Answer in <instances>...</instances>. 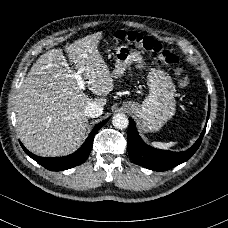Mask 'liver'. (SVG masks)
<instances>
[{"label": "liver", "mask_w": 228, "mask_h": 228, "mask_svg": "<svg viewBox=\"0 0 228 228\" xmlns=\"http://www.w3.org/2000/svg\"><path fill=\"white\" fill-rule=\"evenodd\" d=\"M102 33H95L68 47L69 58L88 90L106 96L115 88L113 74L99 51ZM62 50L41 55L29 70L16 98L18 133L24 145L43 156L66 155L75 151L86 136L88 118L84 110L93 102L79 88ZM100 106L106 99L97 98Z\"/></svg>", "instance_id": "obj_1"}]
</instances>
